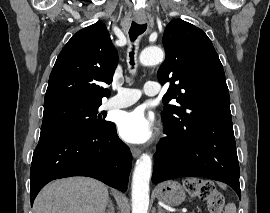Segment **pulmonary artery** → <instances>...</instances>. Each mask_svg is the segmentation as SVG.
<instances>
[{"instance_id":"e3ab8cb5","label":"pulmonary artery","mask_w":270,"mask_h":213,"mask_svg":"<svg viewBox=\"0 0 270 213\" xmlns=\"http://www.w3.org/2000/svg\"><path fill=\"white\" fill-rule=\"evenodd\" d=\"M143 90L146 96H154L158 94L160 85L156 81H147ZM140 98L141 93L137 89L118 88L117 94L108 101L107 107L125 108L136 103Z\"/></svg>"}]
</instances>
